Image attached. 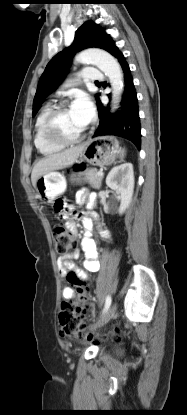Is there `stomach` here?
I'll list each match as a JSON object with an SVG mask.
<instances>
[{
  "mask_svg": "<svg viewBox=\"0 0 187 415\" xmlns=\"http://www.w3.org/2000/svg\"><path fill=\"white\" fill-rule=\"evenodd\" d=\"M80 157L93 166H107L112 164L120 152L119 142L114 137H97L83 144ZM67 183L63 174L49 172L41 176L34 188L36 198L42 205H49L55 198L63 194Z\"/></svg>",
  "mask_w": 187,
  "mask_h": 415,
  "instance_id": "obj_1",
  "label": "stomach"
}]
</instances>
